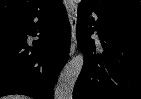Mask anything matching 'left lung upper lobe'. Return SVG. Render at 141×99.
<instances>
[{"label": "left lung upper lobe", "instance_id": "5c2ea615", "mask_svg": "<svg viewBox=\"0 0 141 99\" xmlns=\"http://www.w3.org/2000/svg\"><path fill=\"white\" fill-rule=\"evenodd\" d=\"M80 5L116 21L139 22V0H82Z\"/></svg>", "mask_w": 141, "mask_h": 99}]
</instances>
